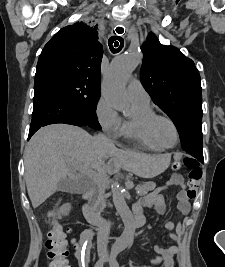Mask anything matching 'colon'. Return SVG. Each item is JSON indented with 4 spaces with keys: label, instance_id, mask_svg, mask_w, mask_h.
Instances as JSON below:
<instances>
[{
    "label": "colon",
    "instance_id": "obj_1",
    "mask_svg": "<svg viewBox=\"0 0 225 267\" xmlns=\"http://www.w3.org/2000/svg\"><path fill=\"white\" fill-rule=\"evenodd\" d=\"M182 166L189 169L187 195L190 199H194L202 181V169L194 158L175 154L173 168L177 170ZM46 247L48 249L47 256L51 260L50 267H70L66 234L56 221L53 222V226L48 232Z\"/></svg>",
    "mask_w": 225,
    "mask_h": 267
}]
</instances>
